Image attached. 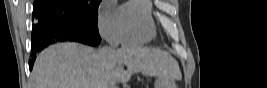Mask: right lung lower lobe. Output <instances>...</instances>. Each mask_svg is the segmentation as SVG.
<instances>
[{"label":"right lung lower lobe","mask_w":267,"mask_h":88,"mask_svg":"<svg viewBox=\"0 0 267 88\" xmlns=\"http://www.w3.org/2000/svg\"><path fill=\"white\" fill-rule=\"evenodd\" d=\"M38 2L33 12L32 52L38 53L57 41H78L91 46L101 42L97 26L85 24L46 0ZM32 67L33 63L30 62L29 69Z\"/></svg>","instance_id":"obj_1"}]
</instances>
